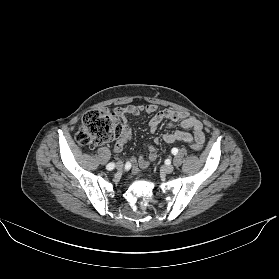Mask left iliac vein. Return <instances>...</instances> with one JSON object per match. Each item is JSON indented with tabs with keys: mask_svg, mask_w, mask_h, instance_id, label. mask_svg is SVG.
<instances>
[{
	"mask_svg": "<svg viewBox=\"0 0 279 279\" xmlns=\"http://www.w3.org/2000/svg\"><path fill=\"white\" fill-rule=\"evenodd\" d=\"M162 171L166 174H170L174 171V166L173 165H165L162 167Z\"/></svg>",
	"mask_w": 279,
	"mask_h": 279,
	"instance_id": "4c4485c4",
	"label": "left iliac vein"
}]
</instances>
